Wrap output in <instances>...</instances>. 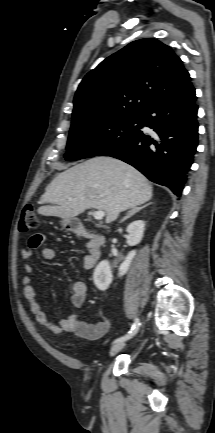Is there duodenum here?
Wrapping results in <instances>:
<instances>
[{"label":"duodenum","mask_w":215,"mask_h":433,"mask_svg":"<svg viewBox=\"0 0 215 433\" xmlns=\"http://www.w3.org/2000/svg\"><path fill=\"white\" fill-rule=\"evenodd\" d=\"M68 226L77 234L89 238L87 243L88 253L92 262L94 264L97 263L101 256V246L103 242L102 236L93 230L85 228L77 219H70L68 221Z\"/></svg>","instance_id":"duodenum-1"}]
</instances>
